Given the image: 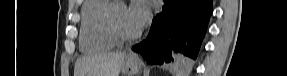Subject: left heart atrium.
<instances>
[{
  "instance_id": "39dd6f15",
  "label": "left heart atrium",
  "mask_w": 287,
  "mask_h": 76,
  "mask_svg": "<svg viewBox=\"0 0 287 76\" xmlns=\"http://www.w3.org/2000/svg\"><path fill=\"white\" fill-rule=\"evenodd\" d=\"M128 15L134 26L142 29L150 17L148 5L143 0H134L128 8Z\"/></svg>"
}]
</instances>
